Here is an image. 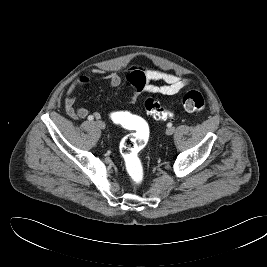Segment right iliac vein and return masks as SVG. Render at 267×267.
<instances>
[{"label":"right iliac vein","instance_id":"obj_1","mask_svg":"<svg viewBox=\"0 0 267 267\" xmlns=\"http://www.w3.org/2000/svg\"><path fill=\"white\" fill-rule=\"evenodd\" d=\"M96 125L100 128V129H105V123L101 120L96 121Z\"/></svg>","mask_w":267,"mask_h":267}]
</instances>
